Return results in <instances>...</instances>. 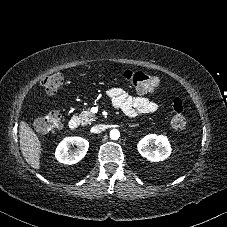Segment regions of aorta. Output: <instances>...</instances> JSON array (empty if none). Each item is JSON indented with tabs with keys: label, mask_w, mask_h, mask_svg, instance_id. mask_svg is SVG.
Listing matches in <instances>:
<instances>
[{
	"label": "aorta",
	"mask_w": 227,
	"mask_h": 227,
	"mask_svg": "<svg viewBox=\"0 0 227 227\" xmlns=\"http://www.w3.org/2000/svg\"><path fill=\"white\" fill-rule=\"evenodd\" d=\"M120 137V132L117 129H112L110 131V138L112 140H117Z\"/></svg>",
	"instance_id": "aorta-1"
}]
</instances>
